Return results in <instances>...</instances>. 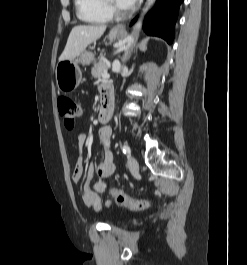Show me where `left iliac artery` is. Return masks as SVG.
<instances>
[{"mask_svg": "<svg viewBox=\"0 0 247 265\" xmlns=\"http://www.w3.org/2000/svg\"><path fill=\"white\" fill-rule=\"evenodd\" d=\"M122 151H123V153L125 154V155H128V154H130V148H129V146L128 145H123L122 146Z\"/></svg>", "mask_w": 247, "mask_h": 265, "instance_id": "44dca946", "label": "left iliac artery"}]
</instances>
